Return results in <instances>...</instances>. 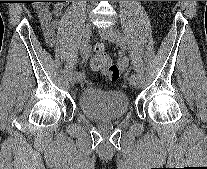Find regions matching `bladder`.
Returning a JSON list of instances; mask_svg holds the SVG:
<instances>
[{
    "label": "bladder",
    "instance_id": "bladder-1",
    "mask_svg": "<svg viewBox=\"0 0 207 169\" xmlns=\"http://www.w3.org/2000/svg\"><path fill=\"white\" fill-rule=\"evenodd\" d=\"M78 106L81 113L92 120H117L127 113L129 100L121 91L90 86L80 92Z\"/></svg>",
    "mask_w": 207,
    "mask_h": 169
}]
</instances>
